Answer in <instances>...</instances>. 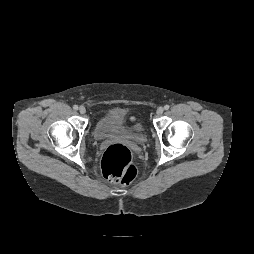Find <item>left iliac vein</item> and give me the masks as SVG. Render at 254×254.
Wrapping results in <instances>:
<instances>
[{"mask_svg":"<svg viewBox=\"0 0 254 254\" xmlns=\"http://www.w3.org/2000/svg\"><path fill=\"white\" fill-rule=\"evenodd\" d=\"M163 112H164V108L163 107H159L158 109H157V115L158 116H161L162 114H163Z\"/></svg>","mask_w":254,"mask_h":254,"instance_id":"left-iliac-vein-1","label":"left iliac vein"}]
</instances>
